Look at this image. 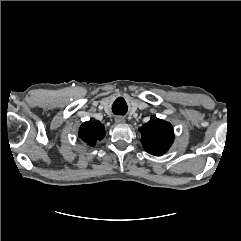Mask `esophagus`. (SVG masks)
I'll list each match as a JSON object with an SVG mask.
<instances>
[{
  "instance_id": "obj_1",
  "label": "esophagus",
  "mask_w": 241,
  "mask_h": 241,
  "mask_svg": "<svg viewBox=\"0 0 241 241\" xmlns=\"http://www.w3.org/2000/svg\"><path fill=\"white\" fill-rule=\"evenodd\" d=\"M115 122L118 124L124 123L125 122V118L122 116H116L115 117Z\"/></svg>"
}]
</instances>
